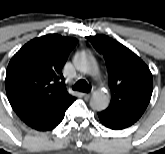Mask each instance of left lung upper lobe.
I'll return each instance as SVG.
<instances>
[{
  "mask_svg": "<svg viewBox=\"0 0 165 154\" xmlns=\"http://www.w3.org/2000/svg\"><path fill=\"white\" fill-rule=\"evenodd\" d=\"M103 54L109 73V116L136 122L145 111L153 89L152 74L147 65L131 50L106 35L86 36Z\"/></svg>",
  "mask_w": 165,
  "mask_h": 154,
  "instance_id": "1",
  "label": "left lung upper lobe"
}]
</instances>
